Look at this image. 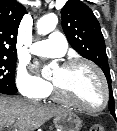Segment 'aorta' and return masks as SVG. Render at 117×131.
<instances>
[{
  "label": "aorta",
  "instance_id": "762f6f07",
  "mask_svg": "<svg viewBox=\"0 0 117 131\" xmlns=\"http://www.w3.org/2000/svg\"><path fill=\"white\" fill-rule=\"evenodd\" d=\"M58 23V19L54 14H48L40 18L37 22L38 34H48L52 32ZM51 65H47L42 70V75L47 76L51 71Z\"/></svg>",
  "mask_w": 117,
  "mask_h": 131
}]
</instances>
